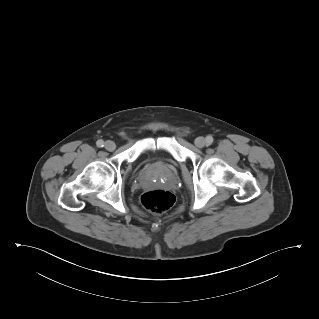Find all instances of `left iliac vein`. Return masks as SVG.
Wrapping results in <instances>:
<instances>
[{
    "mask_svg": "<svg viewBox=\"0 0 319 319\" xmlns=\"http://www.w3.org/2000/svg\"><path fill=\"white\" fill-rule=\"evenodd\" d=\"M195 145L198 148H203L206 145V140L203 137H197L195 139Z\"/></svg>",
    "mask_w": 319,
    "mask_h": 319,
    "instance_id": "obj_1",
    "label": "left iliac vein"
}]
</instances>
